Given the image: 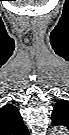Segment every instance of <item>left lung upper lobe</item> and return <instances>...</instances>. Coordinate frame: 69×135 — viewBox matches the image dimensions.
Listing matches in <instances>:
<instances>
[{
    "label": "left lung upper lobe",
    "instance_id": "obj_1",
    "mask_svg": "<svg viewBox=\"0 0 69 135\" xmlns=\"http://www.w3.org/2000/svg\"><path fill=\"white\" fill-rule=\"evenodd\" d=\"M68 102L65 100H59L52 112V125H55L54 123L57 121L58 118H61L64 116V113H66V108Z\"/></svg>",
    "mask_w": 69,
    "mask_h": 135
}]
</instances>
